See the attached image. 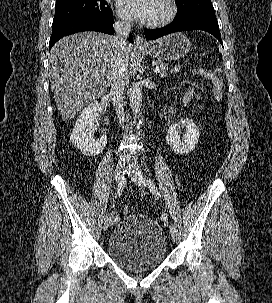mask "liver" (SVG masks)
<instances>
[{"instance_id": "liver-1", "label": "liver", "mask_w": 272, "mask_h": 303, "mask_svg": "<svg viewBox=\"0 0 272 303\" xmlns=\"http://www.w3.org/2000/svg\"><path fill=\"white\" fill-rule=\"evenodd\" d=\"M131 49L127 44L128 55ZM116 50L114 37L90 31L66 36L52 47L50 82L64 121L71 120L110 87Z\"/></svg>"}]
</instances>
